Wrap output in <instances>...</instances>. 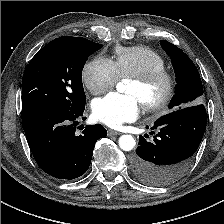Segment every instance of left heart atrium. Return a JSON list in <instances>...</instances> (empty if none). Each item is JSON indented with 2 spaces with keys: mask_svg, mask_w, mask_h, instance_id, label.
<instances>
[{
  "mask_svg": "<svg viewBox=\"0 0 224 224\" xmlns=\"http://www.w3.org/2000/svg\"><path fill=\"white\" fill-rule=\"evenodd\" d=\"M142 101L133 94L110 93L93 102L95 118L111 128L135 120L141 110Z\"/></svg>",
  "mask_w": 224,
  "mask_h": 224,
  "instance_id": "39dd6f15",
  "label": "left heart atrium"
}]
</instances>
